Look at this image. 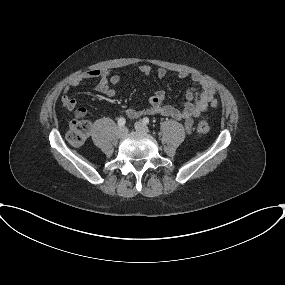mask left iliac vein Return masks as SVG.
Wrapping results in <instances>:
<instances>
[{"label": "left iliac vein", "mask_w": 285, "mask_h": 285, "mask_svg": "<svg viewBox=\"0 0 285 285\" xmlns=\"http://www.w3.org/2000/svg\"><path fill=\"white\" fill-rule=\"evenodd\" d=\"M135 129H136V131H138L140 133H144V134L149 133L148 127L145 124H143L142 122H136L135 123Z\"/></svg>", "instance_id": "obj_1"}]
</instances>
